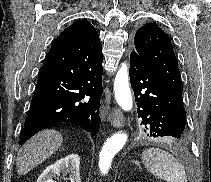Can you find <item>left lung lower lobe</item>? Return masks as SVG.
<instances>
[{
  "instance_id": "left-lung-lower-lobe-1",
  "label": "left lung lower lobe",
  "mask_w": 211,
  "mask_h": 182,
  "mask_svg": "<svg viewBox=\"0 0 211 182\" xmlns=\"http://www.w3.org/2000/svg\"><path fill=\"white\" fill-rule=\"evenodd\" d=\"M129 73L138 116L147 136L182 139L186 125L182 96L167 86L135 51L130 56Z\"/></svg>"
}]
</instances>
